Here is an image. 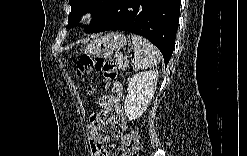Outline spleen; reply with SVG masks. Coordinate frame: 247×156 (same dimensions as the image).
Instances as JSON below:
<instances>
[{"instance_id": "1", "label": "spleen", "mask_w": 247, "mask_h": 156, "mask_svg": "<svg viewBox=\"0 0 247 156\" xmlns=\"http://www.w3.org/2000/svg\"><path fill=\"white\" fill-rule=\"evenodd\" d=\"M134 46L133 68L135 71L156 66L161 55L159 50L142 36H131Z\"/></svg>"}]
</instances>
